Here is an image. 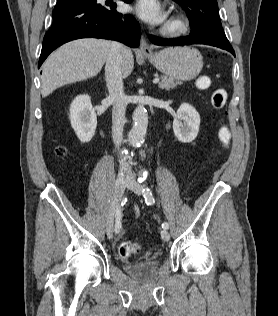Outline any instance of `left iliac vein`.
<instances>
[{
	"label": "left iliac vein",
	"mask_w": 278,
	"mask_h": 316,
	"mask_svg": "<svg viewBox=\"0 0 278 316\" xmlns=\"http://www.w3.org/2000/svg\"><path fill=\"white\" fill-rule=\"evenodd\" d=\"M126 185L135 194H137V195H141L142 194V186L133 177L128 178ZM161 238L164 241H169L170 240V234L167 231V229H163L161 231Z\"/></svg>",
	"instance_id": "1"
}]
</instances>
